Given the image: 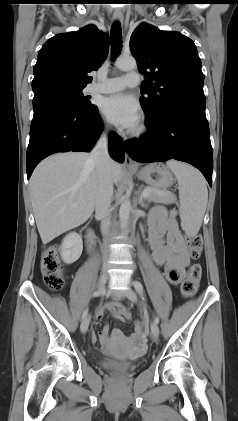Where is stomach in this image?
<instances>
[{
	"label": "stomach",
	"mask_w": 238,
	"mask_h": 421,
	"mask_svg": "<svg viewBox=\"0 0 238 421\" xmlns=\"http://www.w3.org/2000/svg\"><path fill=\"white\" fill-rule=\"evenodd\" d=\"M132 172L151 187L166 189L173 185L174 178L170 170L163 164L155 162Z\"/></svg>",
	"instance_id": "0dacf381"
}]
</instances>
